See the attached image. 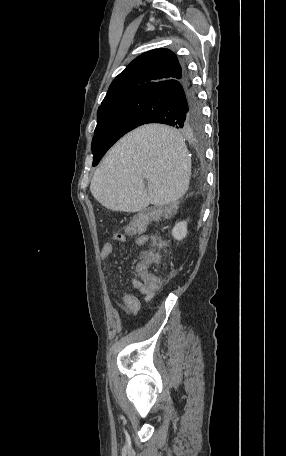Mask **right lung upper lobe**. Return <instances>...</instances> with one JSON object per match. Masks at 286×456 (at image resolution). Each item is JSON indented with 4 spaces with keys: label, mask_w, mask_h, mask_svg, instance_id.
Masks as SVG:
<instances>
[{
    "label": "right lung upper lobe",
    "mask_w": 286,
    "mask_h": 456,
    "mask_svg": "<svg viewBox=\"0 0 286 456\" xmlns=\"http://www.w3.org/2000/svg\"><path fill=\"white\" fill-rule=\"evenodd\" d=\"M176 55L168 49H155L134 59L111 83L102 105L130 96L155 83L182 76Z\"/></svg>",
    "instance_id": "obj_1"
}]
</instances>
